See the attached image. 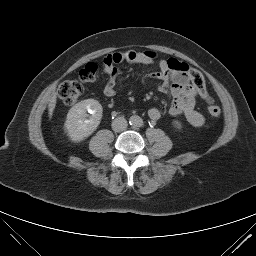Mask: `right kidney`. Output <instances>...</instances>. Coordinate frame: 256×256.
<instances>
[{
  "label": "right kidney",
  "instance_id": "right-kidney-1",
  "mask_svg": "<svg viewBox=\"0 0 256 256\" xmlns=\"http://www.w3.org/2000/svg\"><path fill=\"white\" fill-rule=\"evenodd\" d=\"M87 111L91 114L89 119ZM102 113L103 108L97 100L87 99L75 104L64 124L70 140L80 142L89 137L99 126Z\"/></svg>",
  "mask_w": 256,
  "mask_h": 256
}]
</instances>
